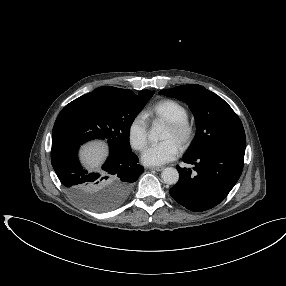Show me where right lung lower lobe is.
<instances>
[{"label":"right lung lower lobe","instance_id":"right-lung-lower-lobe-1","mask_svg":"<svg viewBox=\"0 0 286 286\" xmlns=\"http://www.w3.org/2000/svg\"><path fill=\"white\" fill-rule=\"evenodd\" d=\"M86 141L69 128L55 123L52 132V166L62 185L79 202L95 196L101 199L102 204L115 208L128 197L133 182L144 168L138 164V157L131 148L110 147V155L101 173H89L77 158L79 146Z\"/></svg>","mask_w":286,"mask_h":286}]
</instances>
